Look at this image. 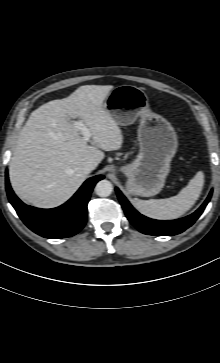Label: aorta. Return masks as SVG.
Returning <instances> with one entry per match:
<instances>
[{"mask_svg":"<svg viewBox=\"0 0 220 363\" xmlns=\"http://www.w3.org/2000/svg\"><path fill=\"white\" fill-rule=\"evenodd\" d=\"M112 191V183L106 179L100 180L95 186V192L100 197H108Z\"/></svg>","mask_w":220,"mask_h":363,"instance_id":"1","label":"aorta"}]
</instances>
